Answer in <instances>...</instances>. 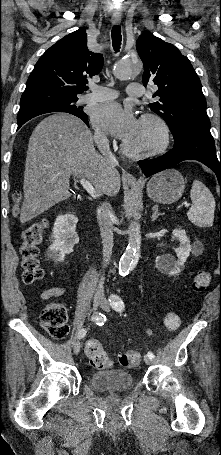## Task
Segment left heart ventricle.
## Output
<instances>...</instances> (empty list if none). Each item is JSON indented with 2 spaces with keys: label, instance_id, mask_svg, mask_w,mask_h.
Listing matches in <instances>:
<instances>
[{
  "label": "left heart ventricle",
  "instance_id": "b2bd125f",
  "mask_svg": "<svg viewBox=\"0 0 221 455\" xmlns=\"http://www.w3.org/2000/svg\"><path fill=\"white\" fill-rule=\"evenodd\" d=\"M158 141L159 133L156 126L148 121H139L136 133L126 143L133 148L144 149L155 145Z\"/></svg>",
  "mask_w": 221,
  "mask_h": 455
}]
</instances>
